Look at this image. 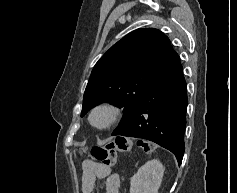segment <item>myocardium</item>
Listing matches in <instances>:
<instances>
[{
	"label": "myocardium",
	"instance_id": "obj_1",
	"mask_svg": "<svg viewBox=\"0 0 237 193\" xmlns=\"http://www.w3.org/2000/svg\"><path fill=\"white\" fill-rule=\"evenodd\" d=\"M105 115V121L103 123L96 122L95 118L98 114ZM121 116L120 109L109 102H104L96 105L89 113V123L92 127L100 131H106L115 126Z\"/></svg>",
	"mask_w": 237,
	"mask_h": 193
}]
</instances>
